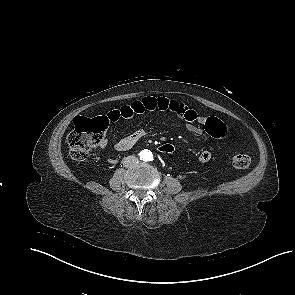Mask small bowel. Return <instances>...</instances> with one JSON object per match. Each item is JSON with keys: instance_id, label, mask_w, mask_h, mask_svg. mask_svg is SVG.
<instances>
[{"instance_id": "c3829d8e", "label": "small bowel", "mask_w": 295, "mask_h": 295, "mask_svg": "<svg viewBox=\"0 0 295 295\" xmlns=\"http://www.w3.org/2000/svg\"><path fill=\"white\" fill-rule=\"evenodd\" d=\"M151 111H169L176 114L178 117L184 119L187 122L188 132L195 137L202 135L203 130L198 125H206L210 119H216L213 117H207L199 115L194 109L189 108L184 103L169 99L166 97H151L147 96L141 100L133 101L130 104L123 105L118 109L109 111L104 116L107 122H116L119 119H130L138 114H143ZM145 136V132L142 129L136 130L133 133L121 138L116 144L115 149L118 151H125L131 149L136 143H138ZM106 142L101 143V147H105ZM212 154L210 151L204 150L199 156L198 160L201 163H207L211 160Z\"/></svg>"}]
</instances>
